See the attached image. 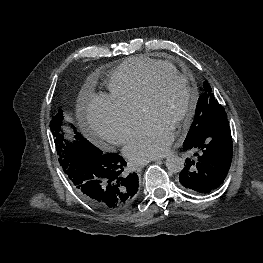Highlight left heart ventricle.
I'll use <instances>...</instances> for the list:
<instances>
[{
	"instance_id": "obj_1",
	"label": "left heart ventricle",
	"mask_w": 263,
	"mask_h": 263,
	"mask_svg": "<svg viewBox=\"0 0 263 263\" xmlns=\"http://www.w3.org/2000/svg\"><path fill=\"white\" fill-rule=\"evenodd\" d=\"M189 104V92L185 84L173 78L163 80L153 99L145 108L147 117H154L172 130H175L178 119L184 114Z\"/></svg>"
}]
</instances>
